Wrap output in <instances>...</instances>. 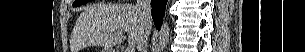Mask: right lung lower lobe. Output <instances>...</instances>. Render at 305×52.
<instances>
[{"mask_svg": "<svg viewBox=\"0 0 305 52\" xmlns=\"http://www.w3.org/2000/svg\"><path fill=\"white\" fill-rule=\"evenodd\" d=\"M167 0H152V18L157 29H160Z\"/></svg>", "mask_w": 305, "mask_h": 52, "instance_id": "1", "label": "right lung lower lobe"}]
</instances>
